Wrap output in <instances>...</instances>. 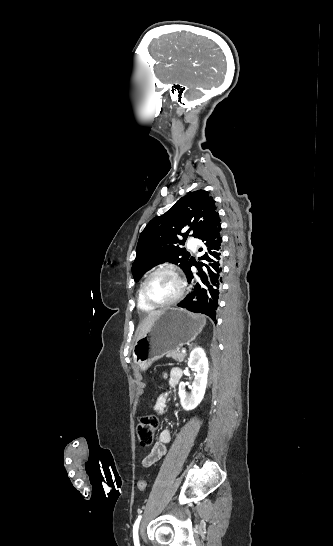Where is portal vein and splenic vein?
<instances>
[{
    "label": "portal vein and splenic vein",
    "instance_id": "obj_1",
    "mask_svg": "<svg viewBox=\"0 0 333 546\" xmlns=\"http://www.w3.org/2000/svg\"><path fill=\"white\" fill-rule=\"evenodd\" d=\"M181 352H182V353H186V349H182Z\"/></svg>",
    "mask_w": 333,
    "mask_h": 546
}]
</instances>
